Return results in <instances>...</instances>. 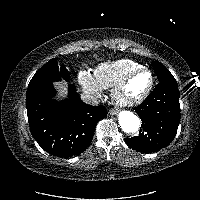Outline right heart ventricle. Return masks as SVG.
I'll return each instance as SVG.
<instances>
[{"instance_id": "right-heart-ventricle-1", "label": "right heart ventricle", "mask_w": 200, "mask_h": 200, "mask_svg": "<svg viewBox=\"0 0 200 200\" xmlns=\"http://www.w3.org/2000/svg\"><path fill=\"white\" fill-rule=\"evenodd\" d=\"M143 67L140 63L132 59H118L111 62L102 63L93 72L97 82L104 88H113L131 71Z\"/></svg>"}]
</instances>
